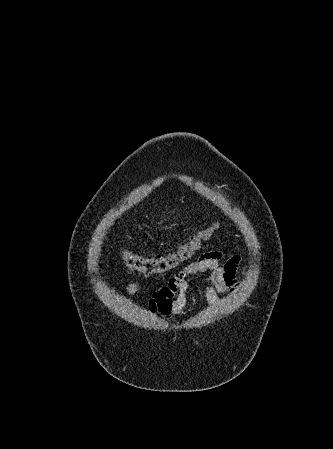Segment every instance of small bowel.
<instances>
[{"instance_id": "1", "label": "small bowel", "mask_w": 333, "mask_h": 449, "mask_svg": "<svg viewBox=\"0 0 333 449\" xmlns=\"http://www.w3.org/2000/svg\"><path fill=\"white\" fill-rule=\"evenodd\" d=\"M223 255L218 251H208L200 259L185 266L181 271L171 276L166 285L159 287L148 301V309L152 316L164 320L181 317L187 304L188 277L202 275L204 277V294L207 301L216 306L227 294L239 290V265L241 259L237 256L228 257L221 263ZM128 294H135L139 285L135 282L125 286Z\"/></svg>"}]
</instances>
